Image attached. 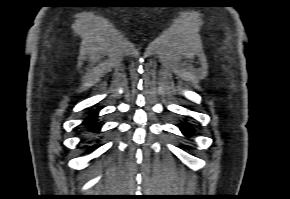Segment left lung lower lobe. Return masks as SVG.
I'll return each instance as SVG.
<instances>
[{"instance_id": "obj_1", "label": "left lung lower lobe", "mask_w": 290, "mask_h": 199, "mask_svg": "<svg viewBox=\"0 0 290 199\" xmlns=\"http://www.w3.org/2000/svg\"><path fill=\"white\" fill-rule=\"evenodd\" d=\"M180 129H181V131H182L185 135H187V136L192 135L193 132H194L193 129L190 128L188 125H184V126H182Z\"/></svg>"}]
</instances>
